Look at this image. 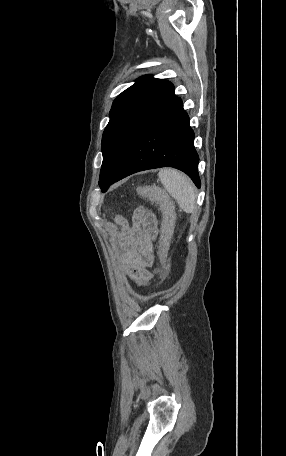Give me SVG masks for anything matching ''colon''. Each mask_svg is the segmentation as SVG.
<instances>
[{
	"label": "colon",
	"mask_w": 286,
	"mask_h": 456,
	"mask_svg": "<svg viewBox=\"0 0 286 456\" xmlns=\"http://www.w3.org/2000/svg\"><path fill=\"white\" fill-rule=\"evenodd\" d=\"M138 194L149 197L155 201L161 208L163 213L162 233L159 245V266L155 269V273L160 278L165 279L168 270V245L172 234V201L166 192L154 185H144L139 187Z\"/></svg>",
	"instance_id": "5ec220e1"
}]
</instances>
